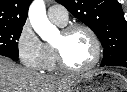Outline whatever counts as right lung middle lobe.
I'll return each mask as SVG.
<instances>
[{
  "instance_id": "dd1d6c3e",
  "label": "right lung middle lobe",
  "mask_w": 127,
  "mask_h": 92,
  "mask_svg": "<svg viewBox=\"0 0 127 92\" xmlns=\"http://www.w3.org/2000/svg\"><path fill=\"white\" fill-rule=\"evenodd\" d=\"M23 26H0V55L17 58L18 42Z\"/></svg>"
}]
</instances>
